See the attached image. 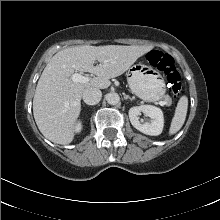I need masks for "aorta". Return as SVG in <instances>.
Instances as JSON below:
<instances>
[{"instance_id":"aorta-1","label":"aorta","mask_w":220,"mask_h":220,"mask_svg":"<svg viewBox=\"0 0 220 220\" xmlns=\"http://www.w3.org/2000/svg\"><path fill=\"white\" fill-rule=\"evenodd\" d=\"M106 100L110 105H117L120 102V97L117 93L111 92L106 95Z\"/></svg>"}]
</instances>
